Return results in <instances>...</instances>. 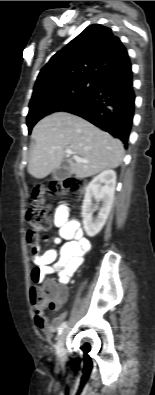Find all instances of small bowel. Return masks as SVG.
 Wrapping results in <instances>:
<instances>
[{"label": "small bowel", "mask_w": 155, "mask_h": 395, "mask_svg": "<svg viewBox=\"0 0 155 395\" xmlns=\"http://www.w3.org/2000/svg\"><path fill=\"white\" fill-rule=\"evenodd\" d=\"M54 223L59 228L56 244L59 250L49 249L43 254V243L34 240L30 247V260H34L30 267L31 281H42L46 275H58L61 285H66L83 262L84 254L90 248V242L83 235L78 222L69 219V211L63 204L58 205L54 214ZM41 254H43L41 256ZM67 298V291L62 288L60 298L54 299L48 305L51 309H58ZM54 306L51 307L50 304ZM45 305L35 307L33 319L36 327L46 338H50L58 327L63 315L51 322L44 314Z\"/></svg>", "instance_id": "1"}]
</instances>
